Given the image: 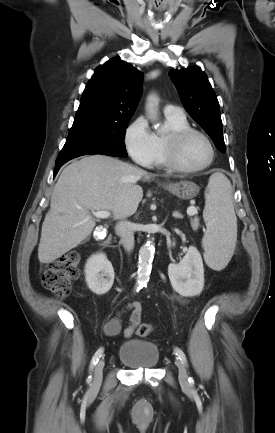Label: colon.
Here are the masks:
<instances>
[{
  "instance_id": "5ec220e1",
  "label": "colon",
  "mask_w": 275,
  "mask_h": 433,
  "mask_svg": "<svg viewBox=\"0 0 275 433\" xmlns=\"http://www.w3.org/2000/svg\"><path fill=\"white\" fill-rule=\"evenodd\" d=\"M80 254L72 250L51 262L42 275L43 286L59 298L69 296L73 282L79 275ZM152 332V325L140 323L137 335L145 337Z\"/></svg>"
}]
</instances>
